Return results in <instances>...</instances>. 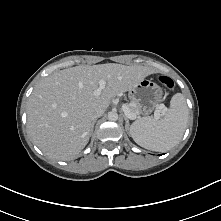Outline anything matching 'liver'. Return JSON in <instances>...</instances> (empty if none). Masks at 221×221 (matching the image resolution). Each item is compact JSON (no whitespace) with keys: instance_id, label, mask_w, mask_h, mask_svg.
<instances>
[{"instance_id":"obj_1","label":"liver","mask_w":221,"mask_h":221,"mask_svg":"<svg viewBox=\"0 0 221 221\" xmlns=\"http://www.w3.org/2000/svg\"><path fill=\"white\" fill-rule=\"evenodd\" d=\"M155 71L146 66L107 63L76 66L42 79L28 100L27 128L34 143L48 157H76L90 138L92 114L104 111L120 93L131 90ZM106 82L99 96V81Z\"/></svg>"}]
</instances>
